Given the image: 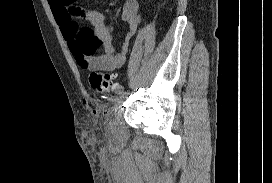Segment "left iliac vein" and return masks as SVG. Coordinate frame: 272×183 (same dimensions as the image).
<instances>
[{
    "label": "left iliac vein",
    "mask_w": 272,
    "mask_h": 183,
    "mask_svg": "<svg viewBox=\"0 0 272 183\" xmlns=\"http://www.w3.org/2000/svg\"><path fill=\"white\" fill-rule=\"evenodd\" d=\"M125 97H126V93L119 94L115 99L116 104L118 105V104L122 103V101L125 99Z\"/></svg>",
    "instance_id": "4c4485c4"
}]
</instances>
